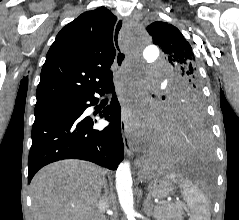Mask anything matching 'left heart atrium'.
Instances as JSON below:
<instances>
[{
    "label": "left heart atrium",
    "instance_id": "left-heart-atrium-1",
    "mask_svg": "<svg viewBox=\"0 0 239 220\" xmlns=\"http://www.w3.org/2000/svg\"><path fill=\"white\" fill-rule=\"evenodd\" d=\"M141 109H143V111H145V113H148L152 107L146 103V102H142L139 106ZM138 112V110L134 109V108H128L127 109V120L130 124V126L133 128V130L137 133L140 134L141 132H143V130H146L147 128H151L153 126V122H154V118L152 117H146L144 119H139L136 116V113Z\"/></svg>",
    "mask_w": 239,
    "mask_h": 220
}]
</instances>
